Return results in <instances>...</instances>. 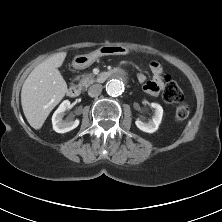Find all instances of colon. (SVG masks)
<instances>
[{
  "label": "colon",
  "mask_w": 222,
  "mask_h": 222,
  "mask_svg": "<svg viewBox=\"0 0 222 222\" xmlns=\"http://www.w3.org/2000/svg\"><path fill=\"white\" fill-rule=\"evenodd\" d=\"M163 98L168 103H179L175 110V118L183 121L189 116V107L183 103V93L174 81L167 80L163 87Z\"/></svg>",
  "instance_id": "1"
}]
</instances>
